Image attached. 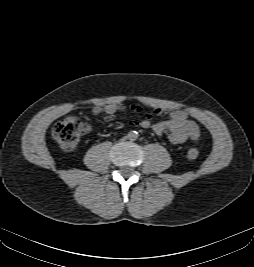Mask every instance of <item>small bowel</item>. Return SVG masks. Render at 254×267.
<instances>
[{
  "mask_svg": "<svg viewBox=\"0 0 254 267\" xmlns=\"http://www.w3.org/2000/svg\"><path fill=\"white\" fill-rule=\"evenodd\" d=\"M123 104L112 102L107 104H98L93 107V114H106V119L111 120L113 115L118 111H123ZM132 110L140 112L142 108L139 105H133ZM164 108H155L152 113H148L141 121L133 120L134 126H140L144 129H152L157 135L166 133L169 141L174 144H182L187 140L197 141L200 136V130L197 123L190 119L189 115L183 110H173L169 113L168 118L153 123V115H164Z\"/></svg>",
  "mask_w": 254,
  "mask_h": 267,
  "instance_id": "c3829d8e",
  "label": "small bowel"
}]
</instances>
